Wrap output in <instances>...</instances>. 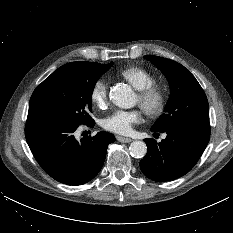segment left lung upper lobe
Instances as JSON below:
<instances>
[{
    "label": "left lung upper lobe",
    "mask_w": 233,
    "mask_h": 233,
    "mask_svg": "<svg viewBox=\"0 0 233 233\" xmlns=\"http://www.w3.org/2000/svg\"><path fill=\"white\" fill-rule=\"evenodd\" d=\"M167 78L170 85V99L165 113L152 126L164 131L188 120L209 121L207 97L195 77L181 64L159 56L146 55Z\"/></svg>",
    "instance_id": "left-lung-upper-lobe-1"
}]
</instances>
